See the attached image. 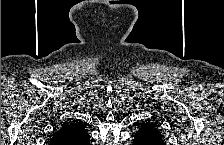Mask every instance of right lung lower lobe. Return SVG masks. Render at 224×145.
I'll return each instance as SVG.
<instances>
[{
    "mask_svg": "<svg viewBox=\"0 0 224 145\" xmlns=\"http://www.w3.org/2000/svg\"><path fill=\"white\" fill-rule=\"evenodd\" d=\"M89 142H90V138H89L87 141H85L83 144H84V145H88Z\"/></svg>",
    "mask_w": 224,
    "mask_h": 145,
    "instance_id": "right-lung-lower-lobe-1",
    "label": "right lung lower lobe"
}]
</instances>
